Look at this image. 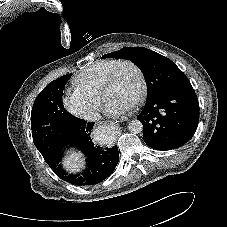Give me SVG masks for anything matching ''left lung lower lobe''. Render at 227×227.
I'll list each match as a JSON object with an SVG mask.
<instances>
[{"instance_id":"1","label":"left lung lower lobe","mask_w":227,"mask_h":227,"mask_svg":"<svg viewBox=\"0 0 227 227\" xmlns=\"http://www.w3.org/2000/svg\"><path fill=\"white\" fill-rule=\"evenodd\" d=\"M137 119L145 143L156 150H171L188 142L199 121L198 99L191 85L162 93L146 101Z\"/></svg>"}]
</instances>
